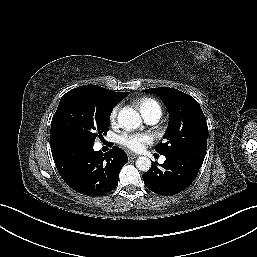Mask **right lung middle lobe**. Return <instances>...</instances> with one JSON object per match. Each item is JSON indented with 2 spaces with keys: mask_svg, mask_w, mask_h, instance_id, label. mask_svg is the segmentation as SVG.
Returning <instances> with one entry per match:
<instances>
[{
  "mask_svg": "<svg viewBox=\"0 0 257 257\" xmlns=\"http://www.w3.org/2000/svg\"><path fill=\"white\" fill-rule=\"evenodd\" d=\"M117 101L105 89L80 86L63 95L52 118L51 146L69 141L93 144L106 135Z\"/></svg>",
  "mask_w": 257,
  "mask_h": 257,
  "instance_id": "dd1d6c3e",
  "label": "right lung middle lobe"
}]
</instances>
